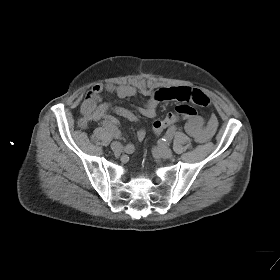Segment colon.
<instances>
[{"label": "colon", "mask_w": 280, "mask_h": 280, "mask_svg": "<svg viewBox=\"0 0 280 280\" xmlns=\"http://www.w3.org/2000/svg\"><path fill=\"white\" fill-rule=\"evenodd\" d=\"M194 115H196V111L192 106L188 104L178 105L174 112L167 114L163 119L157 120L153 123V131L158 135L174 123L182 119L191 118Z\"/></svg>", "instance_id": "5ec220e1"}]
</instances>
